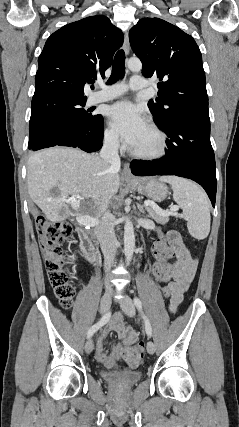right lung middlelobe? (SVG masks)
I'll list each match as a JSON object with an SVG mask.
<instances>
[{
  "mask_svg": "<svg viewBox=\"0 0 239 427\" xmlns=\"http://www.w3.org/2000/svg\"><path fill=\"white\" fill-rule=\"evenodd\" d=\"M86 99H78L63 95H52L32 99V112L29 124V147L48 127L70 122L77 128H86L94 122L98 115H91L83 107Z\"/></svg>",
  "mask_w": 239,
  "mask_h": 427,
  "instance_id": "1",
  "label": "right lung middle lobe"
}]
</instances>
